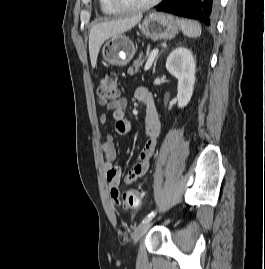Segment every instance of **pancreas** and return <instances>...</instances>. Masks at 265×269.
<instances>
[{
    "label": "pancreas",
    "instance_id": "obj_1",
    "mask_svg": "<svg viewBox=\"0 0 265 269\" xmlns=\"http://www.w3.org/2000/svg\"><path fill=\"white\" fill-rule=\"evenodd\" d=\"M143 54H140L139 57L134 61L132 67L128 69V74L133 75L135 72H138L143 65L142 61Z\"/></svg>",
    "mask_w": 265,
    "mask_h": 269
}]
</instances>
